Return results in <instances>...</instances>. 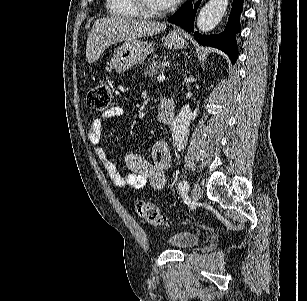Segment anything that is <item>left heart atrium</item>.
I'll list each match as a JSON object with an SVG mask.
<instances>
[{
	"label": "left heart atrium",
	"mask_w": 307,
	"mask_h": 301,
	"mask_svg": "<svg viewBox=\"0 0 307 301\" xmlns=\"http://www.w3.org/2000/svg\"><path fill=\"white\" fill-rule=\"evenodd\" d=\"M160 4H181L182 0H159Z\"/></svg>",
	"instance_id": "39dd6f15"
}]
</instances>
